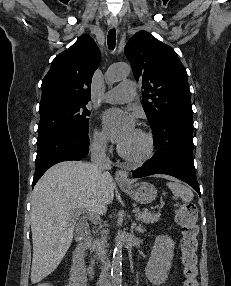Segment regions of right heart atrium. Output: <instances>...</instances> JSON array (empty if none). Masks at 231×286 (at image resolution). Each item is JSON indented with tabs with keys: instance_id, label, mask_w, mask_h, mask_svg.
<instances>
[{
	"instance_id": "right-heart-atrium-1",
	"label": "right heart atrium",
	"mask_w": 231,
	"mask_h": 286,
	"mask_svg": "<svg viewBox=\"0 0 231 286\" xmlns=\"http://www.w3.org/2000/svg\"><path fill=\"white\" fill-rule=\"evenodd\" d=\"M91 146L99 152H105L109 146L106 133L102 130L95 129L91 137Z\"/></svg>"
}]
</instances>
